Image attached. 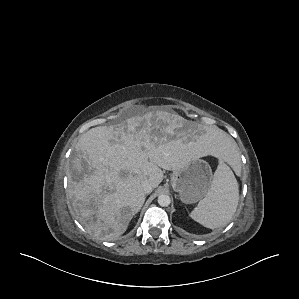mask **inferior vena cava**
Listing matches in <instances>:
<instances>
[{
  "label": "inferior vena cava",
  "instance_id": "obj_1",
  "mask_svg": "<svg viewBox=\"0 0 299 299\" xmlns=\"http://www.w3.org/2000/svg\"><path fill=\"white\" fill-rule=\"evenodd\" d=\"M141 185L144 193L149 194L152 192V185L147 180L142 181Z\"/></svg>",
  "mask_w": 299,
  "mask_h": 299
}]
</instances>
